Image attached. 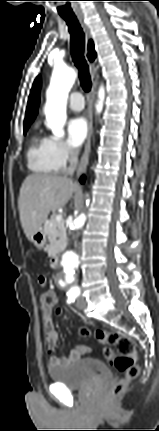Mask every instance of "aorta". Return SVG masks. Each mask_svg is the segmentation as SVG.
Listing matches in <instances>:
<instances>
[{"mask_svg":"<svg viewBox=\"0 0 159 431\" xmlns=\"http://www.w3.org/2000/svg\"><path fill=\"white\" fill-rule=\"evenodd\" d=\"M76 79L74 69L66 66L55 67L52 73L50 86L47 90V102L45 115L47 125L52 130L55 137L60 138L64 135L63 126L66 121V103L68 93ZM99 101L96 106L100 112L104 101V88L99 89ZM86 215L81 213L72 223L70 231L76 234L85 224ZM62 279L69 285L75 286V273L80 266L79 255L72 250L66 251L61 258Z\"/></svg>","mask_w":159,"mask_h":431,"instance_id":"aorta-1","label":"aorta"}]
</instances>
